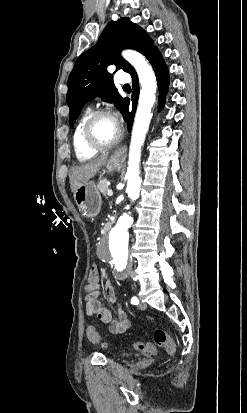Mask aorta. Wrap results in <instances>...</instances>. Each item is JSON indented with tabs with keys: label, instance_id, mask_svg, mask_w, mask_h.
I'll return each instance as SVG.
<instances>
[{
	"label": "aorta",
	"instance_id": "aorta-1",
	"mask_svg": "<svg viewBox=\"0 0 247 413\" xmlns=\"http://www.w3.org/2000/svg\"><path fill=\"white\" fill-rule=\"evenodd\" d=\"M122 56L135 68L141 85L138 107L131 136L129 161L126 173V192L130 200L135 201L139 197L141 187V178L139 176L141 148L152 118L151 109L155 101L157 83L153 69L143 55L133 50H125L122 52ZM132 223L133 218L125 213L118 219L116 226L111 232V237L114 243L111 253L113 256V262L119 271L125 269L127 265V229L132 225Z\"/></svg>",
	"mask_w": 247,
	"mask_h": 413
}]
</instances>
